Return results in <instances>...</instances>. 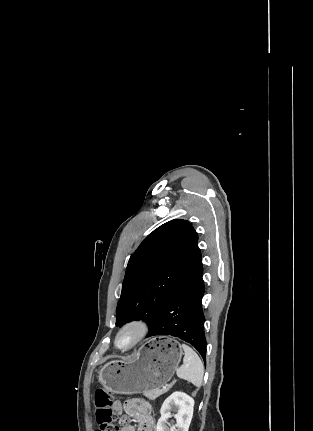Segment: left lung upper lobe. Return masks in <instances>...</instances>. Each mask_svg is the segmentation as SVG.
<instances>
[{
    "instance_id": "left-lung-upper-lobe-1",
    "label": "left lung upper lobe",
    "mask_w": 313,
    "mask_h": 431,
    "mask_svg": "<svg viewBox=\"0 0 313 431\" xmlns=\"http://www.w3.org/2000/svg\"><path fill=\"white\" fill-rule=\"evenodd\" d=\"M201 264L198 235L189 221L174 219L158 227L129 259L116 326L142 319L150 327Z\"/></svg>"
}]
</instances>
